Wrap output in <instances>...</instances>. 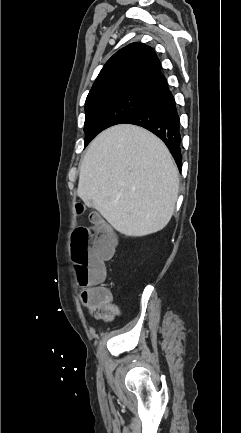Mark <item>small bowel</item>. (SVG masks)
I'll return each instance as SVG.
<instances>
[{"instance_id":"small-bowel-1","label":"small bowel","mask_w":241,"mask_h":433,"mask_svg":"<svg viewBox=\"0 0 241 433\" xmlns=\"http://www.w3.org/2000/svg\"><path fill=\"white\" fill-rule=\"evenodd\" d=\"M108 293L109 296L107 298L89 307L90 313L96 319L102 320L107 323L112 322L116 316L121 314L120 307L113 303L112 296L109 291Z\"/></svg>"}]
</instances>
